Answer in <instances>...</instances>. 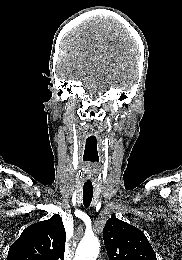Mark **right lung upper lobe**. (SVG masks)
Here are the masks:
<instances>
[{
	"mask_svg": "<svg viewBox=\"0 0 182 260\" xmlns=\"http://www.w3.org/2000/svg\"><path fill=\"white\" fill-rule=\"evenodd\" d=\"M66 232L59 214L30 225L11 245L7 260H64Z\"/></svg>",
	"mask_w": 182,
	"mask_h": 260,
	"instance_id": "1",
	"label": "right lung upper lobe"
}]
</instances>
